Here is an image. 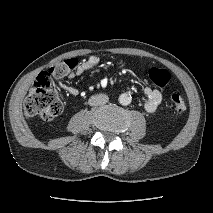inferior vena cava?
I'll return each mask as SVG.
<instances>
[{
    "instance_id": "1",
    "label": "inferior vena cava",
    "mask_w": 213,
    "mask_h": 213,
    "mask_svg": "<svg viewBox=\"0 0 213 213\" xmlns=\"http://www.w3.org/2000/svg\"><path fill=\"white\" fill-rule=\"evenodd\" d=\"M109 101V98L107 95L105 94H97L94 96H91L89 98V105L91 106H98V105H104Z\"/></svg>"
}]
</instances>
